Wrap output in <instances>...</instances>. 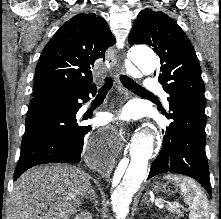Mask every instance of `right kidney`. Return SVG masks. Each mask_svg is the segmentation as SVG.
Listing matches in <instances>:
<instances>
[{"label": "right kidney", "mask_w": 221, "mask_h": 219, "mask_svg": "<svg viewBox=\"0 0 221 219\" xmlns=\"http://www.w3.org/2000/svg\"><path fill=\"white\" fill-rule=\"evenodd\" d=\"M74 219H92L90 213L82 212L81 214L76 215Z\"/></svg>", "instance_id": "obj_1"}]
</instances>
